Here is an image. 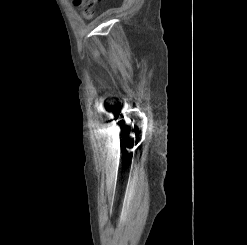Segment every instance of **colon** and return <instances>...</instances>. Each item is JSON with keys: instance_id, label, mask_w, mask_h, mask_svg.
<instances>
[{"instance_id": "colon-1", "label": "colon", "mask_w": 247, "mask_h": 245, "mask_svg": "<svg viewBox=\"0 0 247 245\" xmlns=\"http://www.w3.org/2000/svg\"><path fill=\"white\" fill-rule=\"evenodd\" d=\"M99 0H73V3L81 9L82 13L86 17L92 15V8Z\"/></svg>"}]
</instances>
